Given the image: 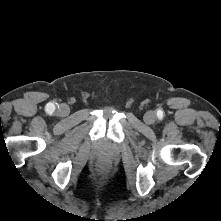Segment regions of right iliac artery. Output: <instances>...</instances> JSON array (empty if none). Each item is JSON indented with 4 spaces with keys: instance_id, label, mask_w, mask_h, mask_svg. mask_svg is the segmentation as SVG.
Segmentation results:
<instances>
[{
    "instance_id": "right-iliac-artery-1",
    "label": "right iliac artery",
    "mask_w": 221,
    "mask_h": 221,
    "mask_svg": "<svg viewBox=\"0 0 221 221\" xmlns=\"http://www.w3.org/2000/svg\"><path fill=\"white\" fill-rule=\"evenodd\" d=\"M54 110H55L54 104H52V103L47 104V106H46L47 113L52 114L54 112Z\"/></svg>"
}]
</instances>
